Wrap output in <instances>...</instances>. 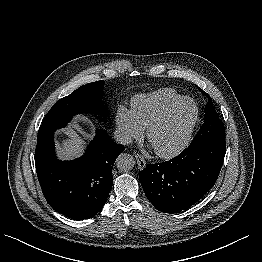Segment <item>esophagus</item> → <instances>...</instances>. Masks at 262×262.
Wrapping results in <instances>:
<instances>
[{"label": "esophagus", "mask_w": 262, "mask_h": 262, "mask_svg": "<svg viewBox=\"0 0 262 262\" xmlns=\"http://www.w3.org/2000/svg\"><path fill=\"white\" fill-rule=\"evenodd\" d=\"M135 158H136V160H137V164H138V167L140 168V169H143V168H145V166H146V161H145V159L140 155V154H135Z\"/></svg>", "instance_id": "1"}]
</instances>
